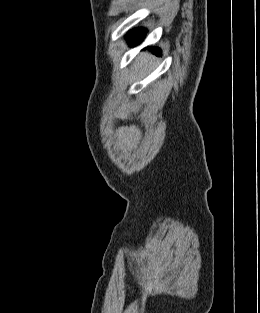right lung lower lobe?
Listing matches in <instances>:
<instances>
[{
  "label": "right lung lower lobe",
  "instance_id": "obj_1",
  "mask_svg": "<svg viewBox=\"0 0 260 313\" xmlns=\"http://www.w3.org/2000/svg\"><path fill=\"white\" fill-rule=\"evenodd\" d=\"M145 34L146 32L142 29L133 30L127 35L128 43L130 45L139 44L143 40ZM154 51L158 54L157 49H154Z\"/></svg>",
  "mask_w": 260,
  "mask_h": 313
}]
</instances>
